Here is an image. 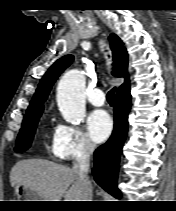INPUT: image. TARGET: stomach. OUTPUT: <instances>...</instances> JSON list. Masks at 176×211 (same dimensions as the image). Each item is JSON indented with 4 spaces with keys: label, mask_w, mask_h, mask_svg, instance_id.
Wrapping results in <instances>:
<instances>
[{
    "label": "stomach",
    "mask_w": 176,
    "mask_h": 211,
    "mask_svg": "<svg viewBox=\"0 0 176 211\" xmlns=\"http://www.w3.org/2000/svg\"><path fill=\"white\" fill-rule=\"evenodd\" d=\"M14 193L18 201H45L35 190L21 183L14 186Z\"/></svg>",
    "instance_id": "0dacf381"
}]
</instances>
